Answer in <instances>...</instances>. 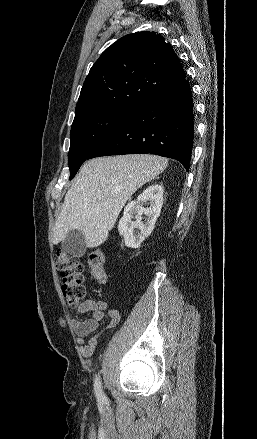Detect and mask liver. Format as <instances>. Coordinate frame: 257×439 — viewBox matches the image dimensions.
I'll use <instances>...</instances> for the list:
<instances>
[{
	"mask_svg": "<svg viewBox=\"0 0 257 439\" xmlns=\"http://www.w3.org/2000/svg\"><path fill=\"white\" fill-rule=\"evenodd\" d=\"M167 164V159L149 154L98 157L84 163L65 195L53 243L77 230L84 235L86 247L100 246L127 200Z\"/></svg>",
	"mask_w": 257,
	"mask_h": 439,
	"instance_id": "obj_1",
	"label": "liver"
}]
</instances>
